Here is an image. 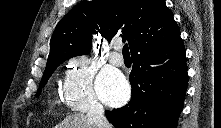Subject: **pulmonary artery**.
Instances as JSON below:
<instances>
[{
  "label": "pulmonary artery",
  "instance_id": "pulmonary-artery-1",
  "mask_svg": "<svg viewBox=\"0 0 221 128\" xmlns=\"http://www.w3.org/2000/svg\"><path fill=\"white\" fill-rule=\"evenodd\" d=\"M120 49L121 45L120 44H115L114 45V51L110 54L109 56V62L117 67H120L124 64V59L120 55Z\"/></svg>",
  "mask_w": 221,
  "mask_h": 128
}]
</instances>
